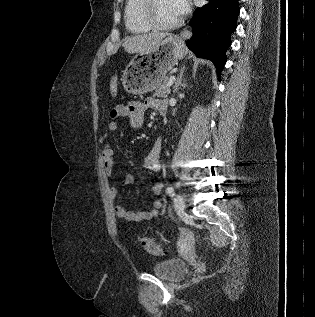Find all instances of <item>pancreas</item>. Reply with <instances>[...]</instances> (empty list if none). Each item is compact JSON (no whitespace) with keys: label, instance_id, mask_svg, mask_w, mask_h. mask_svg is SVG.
Instances as JSON below:
<instances>
[{"label":"pancreas","instance_id":"cf45deb5","mask_svg":"<svg viewBox=\"0 0 315 317\" xmlns=\"http://www.w3.org/2000/svg\"><path fill=\"white\" fill-rule=\"evenodd\" d=\"M168 78L165 77L164 82L155 89L154 96L156 97H167L170 94V88L167 86Z\"/></svg>","mask_w":315,"mask_h":317}]
</instances>
